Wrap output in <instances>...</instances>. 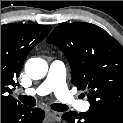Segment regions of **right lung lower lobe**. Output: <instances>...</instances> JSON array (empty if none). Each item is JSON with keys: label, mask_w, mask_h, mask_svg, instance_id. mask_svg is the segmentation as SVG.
<instances>
[{"label": "right lung lower lobe", "mask_w": 123, "mask_h": 123, "mask_svg": "<svg viewBox=\"0 0 123 123\" xmlns=\"http://www.w3.org/2000/svg\"><path fill=\"white\" fill-rule=\"evenodd\" d=\"M44 116V111L39 108L9 107L1 110V123H41Z\"/></svg>", "instance_id": "1"}]
</instances>
